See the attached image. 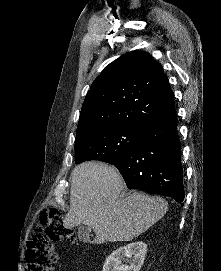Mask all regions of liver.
<instances>
[{"label": "liver", "mask_w": 221, "mask_h": 271, "mask_svg": "<svg viewBox=\"0 0 221 271\" xmlns=\"http://www.w3.org/2000/svg\"><path fill=\"white\" fill-rule=\"evenodd\" d=\"M70 209L64 227L90 225L96 235L91 243L131 241L161 219L168 203L158 195L133 191L121 197L124 179L113 165L84 161L74 167Z\"/></svg>", "instance_id": "liver-1"}]
</instances>
